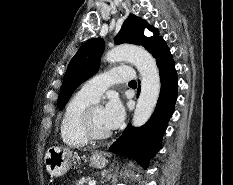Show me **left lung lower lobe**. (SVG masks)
Instances as JSON below:
<instances>
[{"instance_id": "obj_1", "label": "left lung lower lobe", "mask_w": 233, "mask_h": 185, "mask_svg": "<svg viewBox=\"0 0 233 185\" xmlns=\"http://www.w3.org/2000/svg\"><path fill=\"white\" fill-rule=\"evenodd\" d=\"M151 54L156 59L161 79L155 111L145 125L139 128L128 126L109 147L111 152L131 157L144 168L148 167L150 158H153L161 147L162 137L174 112L178 88L174 61L163 38L155 45Z\"/></svg>"}]
</instances>
